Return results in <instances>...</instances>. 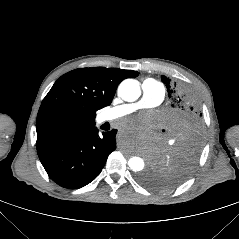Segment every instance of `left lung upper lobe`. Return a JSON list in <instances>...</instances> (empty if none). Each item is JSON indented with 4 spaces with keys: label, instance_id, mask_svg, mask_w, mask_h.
<instances>
[{
    "label": "left lung upper lobe",
    "instance_id": "left-lung-upper-lobe-1",
    "mask_svg": "<svg viewBox=\"0 0 239 239\" xmlns=\"http://www.w3.org/2000/svg\"><path fill=\"white\" fill-rule=\"evenodd\" d=\"M169 96V138L141 181L157 190L172 189L194 170L203 139V118L193 92L184 84L161 75Z\"/></svg>",
    "mask_w": 239,
    "mask_h": 239
}]
</instances>
